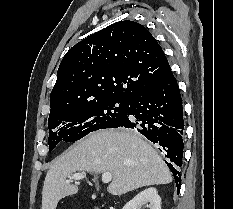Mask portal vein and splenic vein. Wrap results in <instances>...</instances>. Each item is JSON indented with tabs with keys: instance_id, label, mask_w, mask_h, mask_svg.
<instances>
[{
	"instance_id": "1",
	"label": "portal vein and splenic vein",
	"mask_w": 233,
	"mask_h": 209,
	"mask_svg": "<svg viewBox=\"0 0 233 209\" xmlns=\"http://www.w3.org/2000/svg\"><path fill=\"white\" fill-rule=\"evenodd\" d=\"M85 174L82 173H76L72 176H69V180H66V183H69L70 181L74 180H80L82 178H85ZM112 180V174L110 172H105L102 174V182L103 183H109Z\"/></svg>"
}]
</instances>
